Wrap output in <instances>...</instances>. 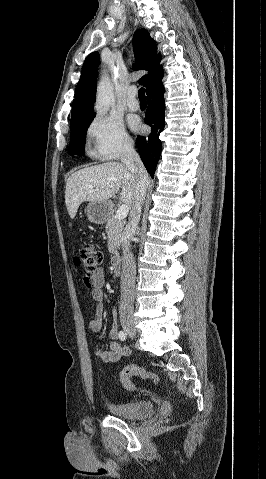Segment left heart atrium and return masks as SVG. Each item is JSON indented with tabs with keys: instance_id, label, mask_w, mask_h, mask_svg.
<instances>
[{
	"instance_id": "obj_1",
	"label": "left heart atrium",
	"mask_w": 266,
	"mask_h": 479,
	"mask_svg": "<svg viewBox=\"0 0 266 479\" xmlns=\"http://www.w3.org/2000/svg\"><path fill=\"white\" fill-rule=\"evenodd\" d=\"M133 127L136 128V127H137V123H133Z\"/></svg>"
}]
</instances>
